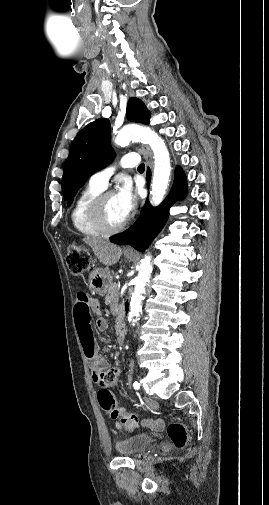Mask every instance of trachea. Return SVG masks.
<instances>
[{"label":"trachea","mask_w":269,"mask_h":505,"mask_svg":"<svg viewBox=\"0 0 269 505\" xmlns=\"http://www.w3.org/2000/svg\"><path fill=\"white\" fill-rule=\"evenodd\" d=\"M144 169H145V166L143 163L138 166L139 171H144Z\"/></svg>","instance_id":"1"}]
</instances>
